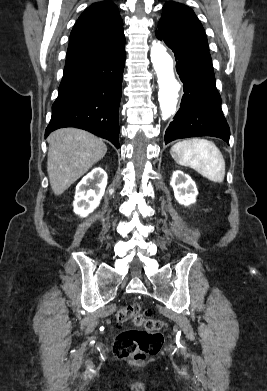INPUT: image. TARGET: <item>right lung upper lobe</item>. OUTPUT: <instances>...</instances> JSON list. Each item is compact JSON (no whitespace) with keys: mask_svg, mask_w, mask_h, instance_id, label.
Returning a JSON list of instances; mask_svg holds the SVG:
<instances>
[{"mask_svg":"<svg viewBox=\"0 0 267 391\" xmlns=\"http://www.w3.org/2000/svg\"><path fill=\"white\" fill-rule=\"evenodd\" d=\"M125 45L123 22L111 1L90 5L74 25L65 67L118 50Z\"/></svg>","mask_w":267,"mask_h":391,"instance_id":"right-lung-upper-lobe-1","label":"right lung upper lobe"}]
</instances>
